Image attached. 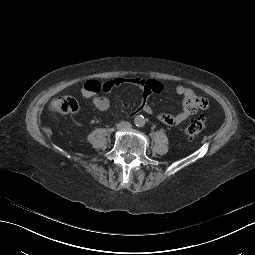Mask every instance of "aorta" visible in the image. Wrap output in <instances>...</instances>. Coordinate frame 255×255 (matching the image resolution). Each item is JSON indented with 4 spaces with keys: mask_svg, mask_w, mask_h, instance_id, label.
Returning <instances> with one entry per match:
<instances>
[{
    "mask_svg": "<svg viewBox=\"0 0 255 255\" xmlns=\"http://www.w3.org/2000/svg\"><path fill=\"white\" fill-rule=\"evenodd\" d=\"M134 122L137 126H143L145 124V119L142 115H137L134 119Z\"/></svg>",
    "mask_w": 255,
    "mask_h": 255,
    "instance_id": "1",
    "label": "aorta"
}]
</instances>
